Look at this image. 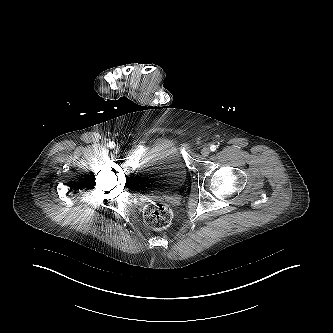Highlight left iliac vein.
I'll use <instances>...</instances> for the list:
<instances>
[{"label":"left iliac vein","mask_w":333,"mask_h":333,"mask_svg":"<svg viewBox=\"0 0 333 333\" xmlns=\"http://www.w3.org/2000/svg\"><path fill=\"white\" fill-rule=\"evenodd\" d=\"M201 154L204 157H207L210 154V149L208 147H203L201 150Z\"/></svg>","instance_id":"4c4485c4"}]
</instances>
